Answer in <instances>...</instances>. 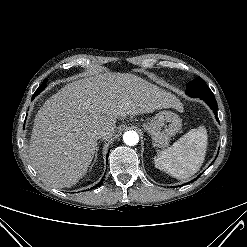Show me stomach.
Wrapping results in <instances>:
<instances>
[{
  "label": "stomach",
  "instance_id": "1",
  "mask_svg": "<svg viewBox=\"0 0 247 247\" xmlns=\"http://www.w3.org/2000/svg\"><path fill=\"white\" fill-rule=\"evenodd\" d=\"M181 127V118L167 110L160 111L152 120L143 124V128L151 136L153 147L156 148L167 147L171 137L176 135Z\"/></svg>",
  "mask_w": 247,
  "mask_h": 247
}]
</instances>
